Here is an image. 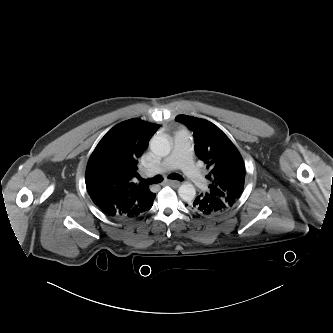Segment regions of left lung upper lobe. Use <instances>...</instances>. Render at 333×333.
<instances>
[{"label":"left lung upper lobe","instance_id":"obj_1","mask_svg":"<svg viewBox=\"0 0 333 333\" xmlns=\"http://www.w3.org/2000/svg\"><path fill=\"white\" fill-rule=\"evenodd\" d=\"M175 119L194 133L196 154L210 169L208 193L221 199L227 210L231 209L244 188L245 165L240 153L213 123L188 115Z\"/></svg>","mask_w":333,"mask_h":333}]
</instances>
